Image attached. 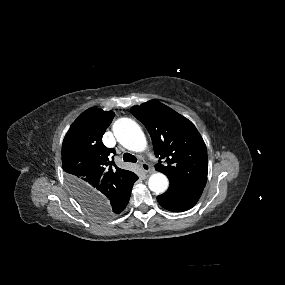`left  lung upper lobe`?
Here are the masks:
<instances>
[{"label":"left lung upper lobe","instance_id":"obj_1","mask_svg":"<svg viewBox=\"0 0 285 285\" xmlns=\"http://www.w3.org/2000/svg\"><path fill=\"white\" fill-rule=\"evenodd\" d=\"M131 112L147 128L155 155L164 160L155 165L156 170L169 180L204 189L207 148L191 121L159 101L134 106Z\"/></svg>","mask_w":285,"mask_h":285}]
</instances>
